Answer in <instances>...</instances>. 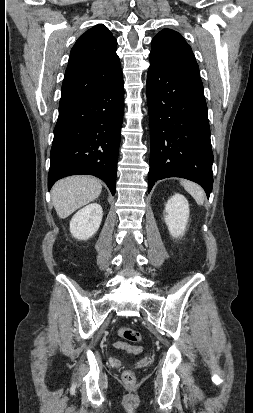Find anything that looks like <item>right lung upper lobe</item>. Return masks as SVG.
Returning a JSON list of instances; mask_svg holds the SVG:
<instances>
[{
    "label": "right lung upper lobe",
    "instance_id": "cb5924a9",
    "mask_svg": "<svg viewBox=\"0 0 253 413\" xmlns=\"http://www.w3.org/2000/svg\"><path fill=\"white\" fill-rule=\"evenodd\" d=\"M116 46L117 40L102 24L78 38L70 52L59 106L88 96L122 72Z\"/></svg>",
    "mask_w": 253,
    "mask_h": 413
}]
</instances>
